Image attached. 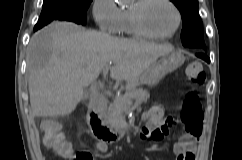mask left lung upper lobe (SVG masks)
<instances>
[{"label": "left lung upper lobe", "instance_id": "5c2ea615", "mask_svg": "<svg viewBox=\"0 0 242 160\" xmlns=\"http://www.w3.org/2000/svg\"><path fill=\"white\" fill-rule=\"evenodd\" d=\"M179 9L183 28L182 44L195 50L207 51L203 38V24L198 13V0H171Z\"/></svg>", "mask_w": 242, "mask_h": 160}]
</instances>
